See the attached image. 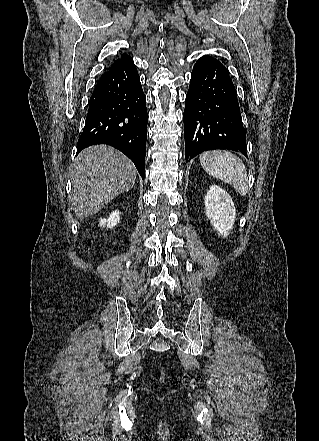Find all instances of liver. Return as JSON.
I'll list each match as a JSON object with an SVG mask.
<instances>
[{
    "instance_id": "1",
    "label": "liver",
    "mask_w": 319,
    "mask_h": 441,
    "mask_svg": "<svg viewBox=\"0 0 319 441\" xmlns=\"http://www.w3.org/2000/svg\"><path fill=\"white\" fill-rule=\"evenodd\" d=\"M137 170L130 159L106 145L84 149L70 171L71 205L78 219L99 212L135 183Z\"/></svg>"
}]
</instances>
